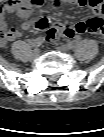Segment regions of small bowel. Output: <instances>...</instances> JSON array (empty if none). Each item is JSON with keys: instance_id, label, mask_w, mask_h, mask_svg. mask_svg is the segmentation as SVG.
Wrapping results in <instances>:
<instances>
[{"instance_id": "small-bowel-1", "label": "small bowel", "mask_w": 104, "mask_h": 137, "mask_svg": "<svg viewBox=\"0 0 104 137\" xmlns=\"http://www.w3.org/2000/svg\"><path fill=\"white\" fill-rule=\"evenodd\" d=\"M53 1L57 5L72 4L79 7L91 8L94 11V13L97 15L96 17H99V18H101V15L104 12L103 0H53ZM43 3H44V0H7L2 5L0 25L5 31H8L5 38L1 41V44L3 46H5L7 42L14 41L21 35L19 31L13 28H10L8 26L5 18L6 13L17 11L18 16L20 18L21 28L24 30L29 29L32 26H36L37 28H39L38 24L41 21H44L46 25L52 24V22L45 16V14H42L38 18H34L32 15L34 8L41 6ZM89 20L79 21L71 25L60 26V27H70V28H73L74 30H77L78 33H81V34L89 33L83 30L86 27V24ZM90 34L94 35L93 33H90Z\"/></svg>"}]
</instances>
